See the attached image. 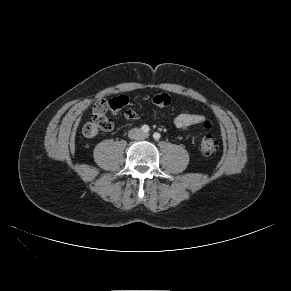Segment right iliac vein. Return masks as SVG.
<instances>
[{"label": "right iliac vein", "mask_w": 291, "mask_h": 291, "mask_svg": "<svg viewBox=\"0 0 291 291\" xmlns=\"http://www.w3.org/2000/svg\"><path fill=\"white\" fill-rule=\"evenodd\" d=\"M129 136L131 138H137L140 136V131L138 129H132L130 132H129Z\"/></svg>", "instance_id": "1"}]
</instances>
